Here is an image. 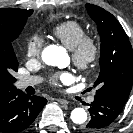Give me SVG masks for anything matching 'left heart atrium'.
I'll return each mask as SVG.
<instances>
[{
	"label": "left heart atrium",
	"mask_w": 133,
	"mask_h": 133,
	"mask_svg": "<svg viewBox=\"0 0 133 133\" xmlns=\"http://www.w3.org/2000/svg\"><path fill=\"white\" fill-rule=\"evenodd\" d=\"M73 79V76L70 72H60L53 76L51 83L53 85H58L61 83H69Z\"/></svg>",
	"instance_id": "obj_1"
}]
</instances>
